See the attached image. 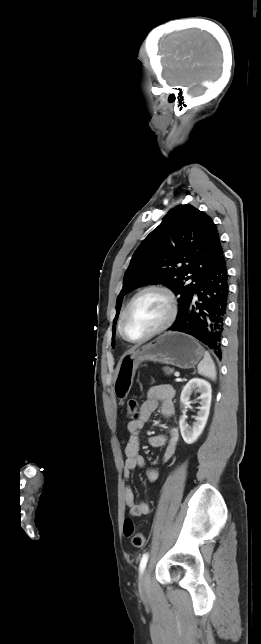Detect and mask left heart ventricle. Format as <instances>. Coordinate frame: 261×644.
<instances>
[{
  "label": "left heart ventricle",
  "instance_id": "left-heart-ventricle-1",
  "mask_svg": "<svg viewBox=\"0 0 261 644\" xmlns=\"http://www.w3.org/2000/svg\"><path fill=\"white\" fill-rule=\"evenodd\" d=\"M169 305L166 297L157 291L142 294L131 307L126 331L130 338L138 339L158 328L167 318Z\"/></svg>",
  "mask_w": 261,
  "mask_h": 644
}]
</instances>
